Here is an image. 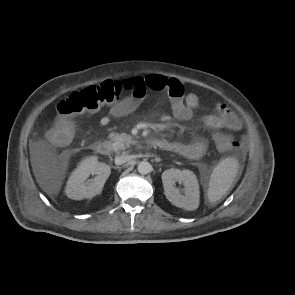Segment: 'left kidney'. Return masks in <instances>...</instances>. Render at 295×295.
<instances>
[{"label":"left kidney","mask_w":295,"mask_h":295,"mask_svg":"<svg viewBox=\"0 0 295 295\" xmlns=\"http://www.w3.org/2000/svg\"><path fill=\"white\" fill-rule=\"evenodd\" d=\"M162 182L166 198L176 207L188 211L199 206V184L196 175L190 170L168 169L162 173ZM175 182L184 185V195L175 187Z\"/></svg>","instance_id":"left-kidney-1"}]
</instances>
